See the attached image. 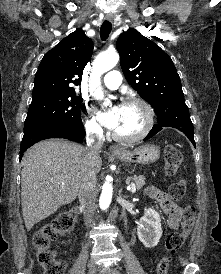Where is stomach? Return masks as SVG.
Here are the masks:
<instances>
[{"instance_id":"0dacf381","label":"stomach","mask_w":221,"mask_h":274,"mask_svg":"<svg viewBox=\"0 0 221 274\" xmlns=\"http://www.w3.org/2000/svg\"><path fill=\"white\" fill-rule=\"evenodd\" d=\"M114 156L122 162L147 165L152 164L159 159L160 148L153 144H146L133 151L124 150Z\"/></svg>"}]
</instances>
